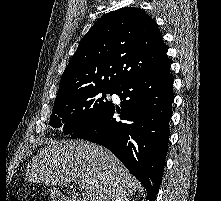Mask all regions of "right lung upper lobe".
I'll return each mask as SVG.
<instances>
[{
	"mask_svg": "<svg viewBox=\"0 0 221 201\" xmlns=\"http://www.w3.org/2000/svg\"><path fill=\"white\" fill-rule=\"evenodd\" d=\"M165 53L160 30L143 9L126 7L107 13L80 41L56 99L93 88L115 90L159 67L167 60Z\"/></svg>",
	"mask_w": 221,
	"mask_h": 201,
	"instance_id": "right-lung-upper-lobe-1",
	"label": "right lung upper lobe"
}]
</instances>
